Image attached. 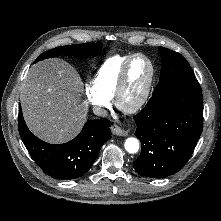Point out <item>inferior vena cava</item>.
Segmentation results:
<instances>
[{
    "mask_svg": "<svg viewBox=\"0 0 221 221\" xmlns=\"http://www.w3.org/2000/svg\"><path fill=\"white\" fill-rule=\"evenodd\" d=\"M93 112L95 115L97 116H101V117H105L107 116V111L104 109V108H101V107H94L93 108Z\"/></svg>",
    "mask_w": 221,
    "mask_h": 221,
    "instance_id": "1",
    "label": "inferior vena cava"
}]
</instances>
